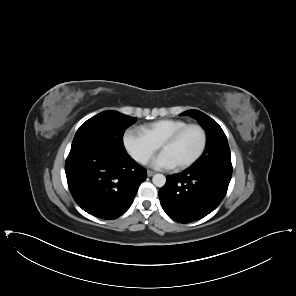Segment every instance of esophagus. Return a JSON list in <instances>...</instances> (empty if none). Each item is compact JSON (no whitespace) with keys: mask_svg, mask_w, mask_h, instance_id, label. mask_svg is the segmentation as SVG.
Returning <instances> with one entry per match:
<instances>
[{"mask_svg":"<svg viewBox=\"0 0 296 296\" xmlns=\"http://www.w3.org/2000/svg\"><path fill=\"white\" fill-rule=\"evenodd\" d=\"M154 174H155L154 171H151V170H148V171H147V175H148V177H151V176H153Z\"/></svg>","mask_w":296,"mask_h":296,"instance_id":"1","label":"esophagus"}]
</instances>
